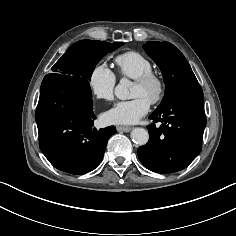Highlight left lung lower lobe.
Listing matches in <instances>:
<instances>
[{"instance_id": "obj_1", "label": "left lung lower lobe", "mask_w": 236, "mask_h": 236, "mask_svg": "<svg viewBox=\"0 0 236 236\" xmlns=\"http://www.w3.org/2000/svg\"><path fill=\"white\" fill-rule=\"evenodd\" d=\"M149 118L162 124L147 126L149 141L137 151L141 163L161 174L186 168L202 149L206 117L201 87L180 90Z\"/></svg>"}]
</instances>
